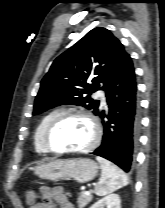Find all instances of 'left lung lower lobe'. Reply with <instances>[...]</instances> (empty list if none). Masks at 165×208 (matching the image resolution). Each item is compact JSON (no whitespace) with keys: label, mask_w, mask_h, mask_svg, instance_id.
I'll return each instance as SVG.
<instances>
[{"label":"left lung lower lobe","mask_w":165,"mask_h":208,"mask_svg":"<svg viewBox=\"0 0 165 208\" xmlns=\"http://www.w3.org/2000/svg\"><path fill=\"white\" fill-rule=\"evenodd\" d=\"M108 111L99 108L103 120L102 144L93 152L118 165L125 172L133 169L140 129V106L137 82L130 56L106 87ZM104 118H107L105 121Z\"/></svg>","instance_id":"left-lung-lower-lobe-1"}]
</instances>
